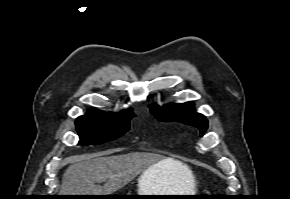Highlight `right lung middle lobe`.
<instances>
[{"mask_svg":"<svg viewBox=\"0 0 290 199\" xmlns=\"http://www.w3.org/2000/svg\"><path fill=\"white\" fill-rule=\"evenodd\" d=\"M135 115L123 116H80L76 128L79 144L96 145L115 140L124 135L130 127V119Z\"/></svg>","mask_w":290,"mask_h":199,"instance_id":"1","label":"right lung middle lobe"}]
</instances>
